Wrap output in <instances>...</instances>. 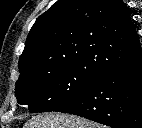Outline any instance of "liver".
<instances>
[{"mask_svg": "<svg viewBox=\"0 0 142 128\" xmlns=\"http://www.w3.org/2000/svg\"><path fill=\"white\" fill-rule=\"evenodd\" d=\"M23 128H102L100 125L74 115L40 114L29 119Z\"/></svg>", "mask_w": 142, "mask_h": 128, "instance_id": "liver-1", "label": "liver"}]
</instances>
